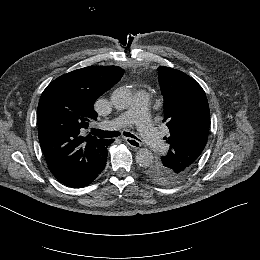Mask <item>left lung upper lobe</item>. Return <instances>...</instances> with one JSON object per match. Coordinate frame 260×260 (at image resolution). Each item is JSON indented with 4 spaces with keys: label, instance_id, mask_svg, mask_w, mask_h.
<instances>
[{
    "label": "left lung upper lobe",
    "instance_id": "1",
    "mask_svg": "<svg viewBox=\"0 0 260 260\" xmlns=\"http://www.w3.org/2000/svg\"><path fill=\"white\" fill-rule=\"evenodd\" d=\"M158 79L164 96V121L170 129V149L146 175L161 184L184 179L198 163L209 132V106L202 87L185 73L160 66ZM166 139V137L164 138Z\"/></svg>",
    "mask_w": 260,
    "mask_h": 260
}]
</instances>
